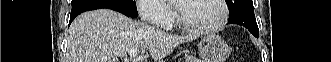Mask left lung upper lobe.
I'll return each mask as SVG.
<instances>
[{"mask_svg": "<svg viewBox=\"0 0 331 62\" xmlns=\"http://www.w3.org/2000/svg\"><path fill=\"white\" fill-rule=\"evenodd\" d=\"M229 14V24H239L253 30L258 36L259 29L256 23L252 0H226Z\"/></svg>", "mask_w": 331, "mask_h": 62, "instance_id": "left-lung-upper-lobe-1", "label": "left lung upper lobe"}]
</instances>
